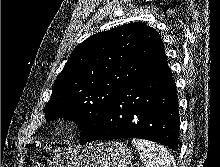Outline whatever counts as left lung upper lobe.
Segmentation results:
<instances>
[{"mask_svg": "<svg viewBox=\"0 0 220 167\" xmlns=\"http://www.w3.org/2000/svg\"><path fill=\"white\" fill-rule=\"evenodd\" d=\"M165 60L161 36L144 23L96 33L75 48L57 77L46 119L74 121L84 141L97 133L118 90Z\"/></svg>", "mask_w": 220, "mask_h": 167, "instance_id": "left-lung-upper-lobe-1", "label": "left lung upper lobe"}]
</instances>
